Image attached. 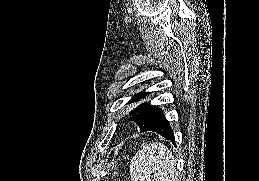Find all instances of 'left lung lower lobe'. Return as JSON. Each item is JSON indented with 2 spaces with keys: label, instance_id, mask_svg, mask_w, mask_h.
<instances>
[{
  "label": "left lung lower lobe",
  "instance_id": "left-lung-lower-lobe-1",
  "mask_svg": "<svg viewBox=\"0 0 259 181\" xmlns=\"http://www.w3.org/2000/svg\"><path fill=\"white\" fill-rule=\"evenodd\" d=\"M145 131H154L175 144L173 131L168 120L164 116L163 111L160 112L157 118L143 132Z\"/></svg>",
  "mask_w": 259,
  "mask_h": 181
}]
</instances>
